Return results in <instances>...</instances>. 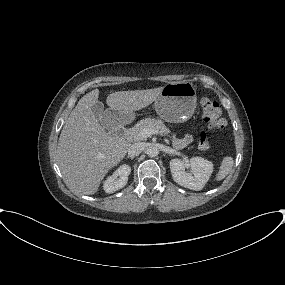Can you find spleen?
Here are the masks:
<instances>
[{
    "mask_svg": "<svg viewBox=\"0 0 285 285\" xmlns=\"http://www.w3.org/2000/svg\"><path fill=\"white\" fill-rule=\"evenodd\" d=\"M233 164L234 160L231 156L224 157L219 167V172L217 173L216 180H223L231 172Z\"/></svg>",
    "mask_w": 285,
    "mask_h": 285,
    "instance_id": "spleen-1",
    "label": "spleen"
}]
</instances>
